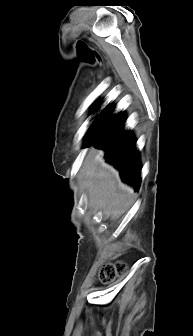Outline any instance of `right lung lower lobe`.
Masks as SVG:
<instances>
[{"label": "right lung lower lobe", "instance_id": "1", "mask_svg": "<svg viewBox=\"0 0 193 336\" xmlns=\"http://www.w3.org/2000/svg\"><path fill=\"white\" fill-rule=\"evenodd\" d=\"M124 121L120 113L110 117L104 131L90 140L88 146L104 149L107 161L119 169L122 180L137 190L141 173L139 152L134 137L123 129Z\"/></svg>", "mask_w": 193, "mask_h": 336}]
</instances>
